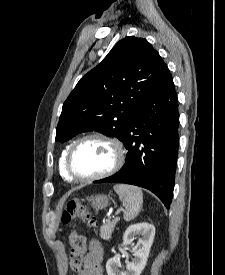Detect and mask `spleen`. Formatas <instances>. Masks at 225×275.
<instances>
[{"instance_id":"1","label":"spleen","mask_w":225,"mask_h":275,"mask_svg":"<svg viewBox=\"0 0 225 275\" xmlns=\"http://www.w3.org/2000/svg\"><path fill=\"white\" fill-rule=\"evenodd\" d=\"M113 188L125 206L124 220L129 222L135 219L139 215L143 204L142 190L127 184H118Z\"/></svg>"}]
</instances>
